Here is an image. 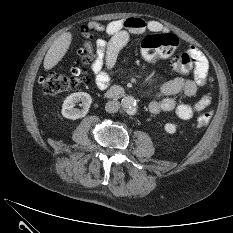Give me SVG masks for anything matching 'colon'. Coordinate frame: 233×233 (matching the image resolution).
<instances>
[{"instance_id":"1","label":"colon","mask_w":233,"mask_h":233,"mask_svg":"<svg viewBox=\"0 0 233 233\" xmlns=\"http://www.w3.org/2000/svg\"><path fill=\"white\" fill-rule=\"evenodd\" d=\"M89 29L86 35L90 36ZM179 41L177 37L170 33H154L144 38L141 43V51L144 59L154 62L161 58L169 59L173 69L181 74H188L193 71V60L188 52L178 50ZM81 63L72 67L69 74L51 70L41 76L39 83L45 94L55 95L65 91L74 90L87 80V69L85 64L92 58L91 45L87 44L79 52ZM210 112L201 113L195 120L197 128L206 127L211 121Z\"/></svg>"}]
</instances>
